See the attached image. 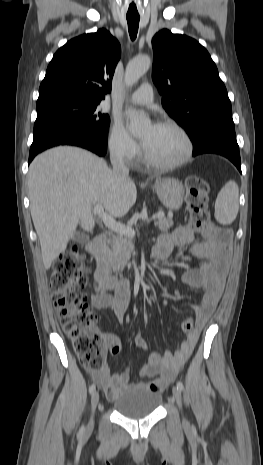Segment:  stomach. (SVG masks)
Returning a JSON list of instances; mask_svg holds the SVG:
<instances>
[{"label":"stomach","mask_w":263,"mask_h":465,"mask_svg":"<svg viewBox=\"0 0 263 465\" xmlns=\"http://www.w3.org/2000/svg\"><path fill=\"white\" fill-rule=\"evenodd\" d=\"M153 189L162 204L171 209L178 210L183 204L184 188L182 182L174 178H163L156 181Z\"/></svg>","instance_id":"obj_1"}]
</instances>
